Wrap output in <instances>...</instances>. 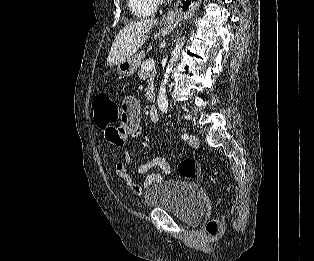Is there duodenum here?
<instances>
[{"instance_id":"duodenum-1","label":"duodenum","mask_w":314,"mask_h":261,"mask_svg":"<svg viewBox=\"0 0 314 261\" xmlns=\"http://www.w3.org/2000/svg\"><path fill=\"white\" fill-rule=\"evenodd\" d=\"M149 118L156 122L159 119V113H158V109L155 105H151L149 108Z\"/></svg>"}]
</instances>
